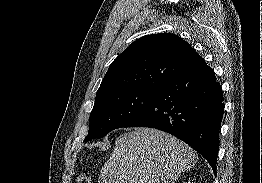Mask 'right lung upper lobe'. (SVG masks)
I'll return each mask as SVG.
<instances>
[{
	"instance_id": "obj_1",
	"label": "right lung upper lobe",
	"mask_w": 262,
	"mask_h": 183,
	"mask_svg": "<svg viewBox=\"0 0 262 183\" xmlns=\"http://www.w3.org/2000/svg\"><path fill=\"white\" fill-rule=\"evenodd\" d=\"M190 44L174 34H152L134 41L110 65L96 97L119 90H158L205 65Z\"/></svg>"
}]
</instances>
